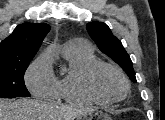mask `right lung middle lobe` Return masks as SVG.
<instances>
[{"label": "right lung middle lobe", "instance_id": "dd1d6c3e", "mask_svg": "<svg viewBox=\"0 0 165 120\" xmlns=\"http://www.w3.org/2000/svg\"><path fill=\"white\" fill-rule=\"evenodd\" d=\"M30 60L0 61V97L30 96L24 83V73Z\"/></svg>", "mask_w": 165, "mask_h": 120}]
</instances>
